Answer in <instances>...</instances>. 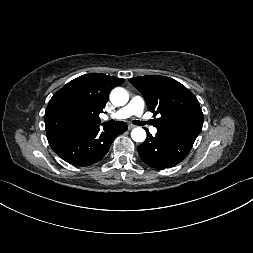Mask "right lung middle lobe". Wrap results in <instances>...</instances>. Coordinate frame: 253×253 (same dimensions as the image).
Returning a JSON list of instances; mask_svg holds the SVG:
<instances>
[{"label":"right lung middle lobe","instance_id":"dd1d6c3e","mask_svg":"<svg viewBox=\"0 0 253 253\" xmlns=\"http://www.w3.org/2000/svg\"><path fill=\"white\" fill-rule=\"evenodd\" d=\"M45 125L48 140L87 128L82 114L65 103L47 107Z\"/></svg>","mask_w":253,"mask_h":253}]
</instances>
